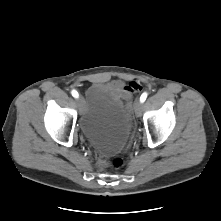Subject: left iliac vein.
Wrapping results in <instances>:
<instances>
[{
  "label": "left iliac vein",
  "mask_w": 221,
  "mask_h": 221,
  "mask_svg": "<svg viewBox=\"0 0 221 221\" xmlns=\"http://www.w3.org/2000/svg\"><path fill=\"white\" fill-rule=\"evenodd\" d=\"M134 111L137 116H140L143 111V104L140 100H136L134 103Z\"/></svg>",
  "instance_id": "left-iliac-vein-1"
}]
</instances>
